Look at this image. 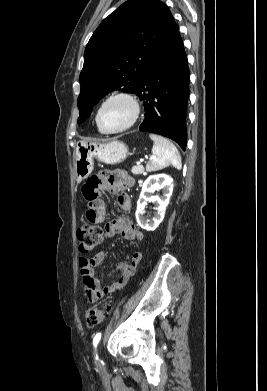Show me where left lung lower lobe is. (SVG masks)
<instances>
[{
  "instance_id": "left-lung-lower-lobe-1",
  "label": "left lung lower lobe",
  "mask_w": 267,
  "mask_h": 391,
  "mask_svg": "<svg viewBox=\"0 0 267 391\" xmlns=\"http://www.w3.org/2000/svg\"><path fill=\"white\" fill-rule=\"evenodd\" d=\"M189 69L179 30L150 63L135 94L144 100L145 119L139 127L168 137L186 149Z\"/></svg>"
}]
</instances>
